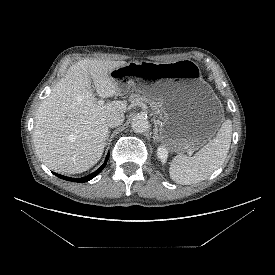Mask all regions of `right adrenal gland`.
<instances>
[{"label":"right adrenal gland","instance_id":"right-adrenal-gland-1","mask_svg":"<svg viewBox=\"0 0 275 275\" xmlns=\"http://www.w3.org/2000/svg\"><path fill=\"white\" fill-rule=\"evenodd\" d=\"M109 133H110V131H108V133H107L106 140H108V138H109Z\"/></svg>","mask_w":275,"mask_h":275}]
</instances>
